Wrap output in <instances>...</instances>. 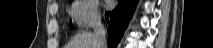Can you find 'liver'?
<instances>
[{
	"mask_svg": "<svg viewBox=\"0 0 213 48\" xmlns=\"http://www.w3.org/2000/svg\"><path fill=\"white\" fill-rule=\"evenodd\" d=\"M67 48H97V43L94 38V34L90 32H83L76 35L67 45Z\"/></svg>",
	"mask_w": 213,
	"mask_h": 48,
	"instance_id": "6515ba94",
	"label": "liver"
}]
</instances>
